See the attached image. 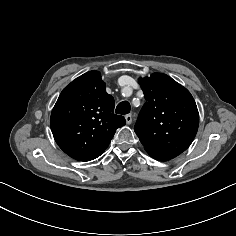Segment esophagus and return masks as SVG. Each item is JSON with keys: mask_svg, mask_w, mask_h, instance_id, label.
<instances>
[{"mask_svg": "<svg viewBox=\"0 0 236 236\" xmlns=\"http://www.w3.org/2000/svg\"><path fill=\"white\" fill-rule=\"evenodd\" d=\"M125 120H126L127 124H131L132 123V115L131 114L125 115Z\"/></svg>", "mask_w": 236, "mask_h": 236, "instance_id": "1", "label": "esophagus"}]
</instances>
